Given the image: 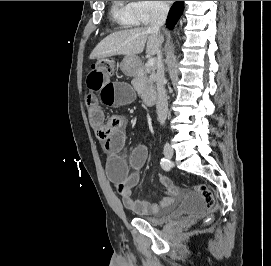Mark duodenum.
Instances as JSON below:
<instances>
[{
    "instance_id": "obj_1",
    "label": "duodenum",
    "mask_w": 271,
    "mask_h": 266,
    "mask_svg": "<svg viewBox=\"0 0 271 266\" xmlns=\"http://www.w3.org/2000/svg\"><path fill=\"white\" fill-rule=\"evenodd\" d=\"M138 65V61L137 60H132L130 62V66H137ZM156 91L155 90H150V91H147L143 94V100H144V103L146 105H153L156 101Z\"/></svg>"
}]
</instances>
